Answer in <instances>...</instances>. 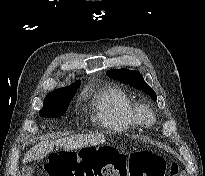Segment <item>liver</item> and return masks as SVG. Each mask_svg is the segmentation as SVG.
<instances>
[{"label":"liver","instance_id":"1","mask_svg":"<svg viewBox=\"0 0 205 176\" xmlns=\"http://www.w3.org/2000/svg\"><path fill=\"white\" fill-rule=\"evenodd\" d=\"M105 137L102 134L71 135L55 141H42L32 147L24 156L23 163L43 159L53 151L54 146H60L65 151L81 149L88 146L103 144Z\"/></svg>","mask_w":205,"mask_h":176}]
</instances>
